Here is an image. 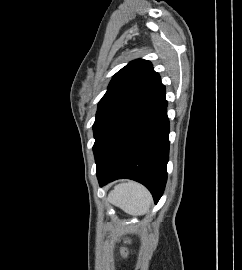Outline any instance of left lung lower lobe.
I'll return each instance as SVG.
<instances>
[{
	"label": "left lung lower lobe",
	"mask_w": 242,
	"mask_h": 270,
	"mask_svg": "<svg viewBox=\"0 0 242 270\" xmlns=\"http://www.w3.org/2000/svg\"><path fill=\"white\" fill-rule=\"evenodd\" d=\"M165 86H160L121 118L95 153L100 186L119 178L145 185L155 203L163 194L169 157Z\"/></svg>",
	"instance_id": "0a47b994"
}]
</instances>
